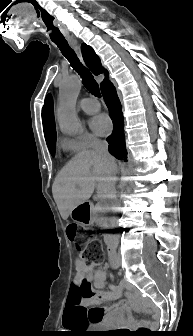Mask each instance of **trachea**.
Masks as SVG:
<instances>
[{
    "instance_id": "obj_1",
    "label": "trachea",
    "mask_w": 193,
    "mask_h": 336,
    "mask_svg": "<svg viewBox=\"0 0 193 336\" xmlns=\"http://www.w3.org/2000/svg\"><path fill=\"white\" fill-rule=\"evenodd\" d=\"M50 27L54 28L53 24ZM54 43L60 49L63 56L68 59L72 68L81 76L82 82L86 89L89 90L92 94L99 96L100 92L98 83L95 81L91 72L81 64L74 50L69 46L68 42L61 40L54 41Z\"/></svg>"
}]
</instances>
